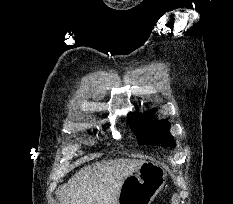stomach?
I'll return each instance as SVG.
<instances>
[{
  "mask_svg": "<svg viewBox=\"0 0 233 204\" xmlns=\"http://www.w3.org/2000/svg\"><path fill=\"white\" fill-rule=\"evenodd\" d=\"M166 175L162 165L143 161L136 174L124 180L117 204H151L164 187Z\"/></svg>",
  "mask_w": 233,
  "mask_h": 204,
  "instance_id": "stomach-1",
  "label": "stomach"
}]
</instances>
